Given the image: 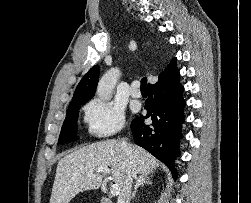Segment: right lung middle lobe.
<instances>
[{"mask_svg": "<svg viewBox=\"0 0 251 203\" xmlns=\"http://www.w3.org/2000/svg\"><path fill=\"white\" fill-rule=\"evenodd\" d=\"M84 102L70 104L67 110L66 118L63 123L58 143H70L76 141L77 138V119L79 109Z\"/></svg>", "mask_w": 251, "mask_h": 203, "instance_id": "right-lung-middle-lobe-1", "label": "right lung middle lobe"}]
</instances>
